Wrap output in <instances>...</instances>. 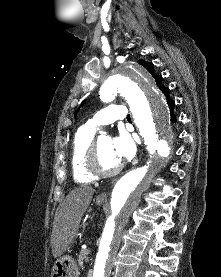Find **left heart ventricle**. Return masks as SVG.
I'll use <instances>...</instances> for the list:
<instances>
[{
  "label": "left heart ventricle",
  "mask_w": 221,
  "mask_h": 277,
  "mask_svg": "<svg viewBox=\"0 0 221 277\" xmlns=\"http://www.w3.org/2000/svg\"><path fill=\"white\" fill-rule=\"evenodd\" d=\"M98 159L99 166L104 171L114 169L121 162L114 152L111 139L108 137L99 138Z\"/></svg>",
  "instance_id": "left-heart-ventricle-1"
}]
</instances>
